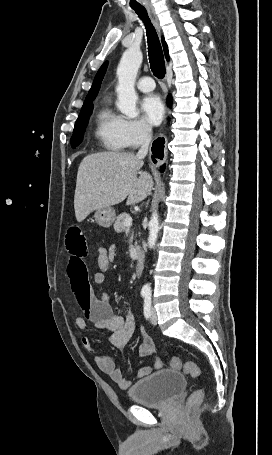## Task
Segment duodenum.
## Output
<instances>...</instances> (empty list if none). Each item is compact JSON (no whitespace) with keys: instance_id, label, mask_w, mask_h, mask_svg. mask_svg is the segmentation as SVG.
Masks as SVG:
<instances>
[{"instance_id":"duodenum-1","label":"duodenum","mask_w":272,"mask_h":455,"mask_svg":"<svg viewBox=\"0 0 272 455\" xmlns=\"http://www.w3.org/2000/svg\"><path fill=\"white\" fill-rule=\"evenodd\" d=\"M144 266V255L141 251L136 254V273L139 275L142 272Z\"/></svg>"}]
</instances>
